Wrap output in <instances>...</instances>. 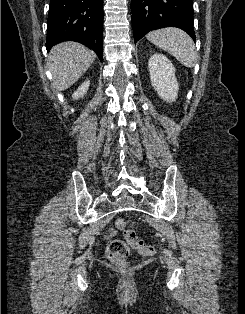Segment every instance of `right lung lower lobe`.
Returning a JSON list of instances; mask_svg holds the SVG:
<instances>
[{
    "instance_id": "1",
    "label": "right lung lower lobe",
    "mask_w": 245,
    "mask_h": 314,
    "mask_svg": "<svg viewBox=\"0 0 245 314\" xmlns=\"http://www.w3.org/2000/svg\"><path fill=\"white\" fill-rule=\"evenodd\" d=\"M103 0H51L46 48L62 41H76L102 60Z\"/></svg>"
}]
</instances>
